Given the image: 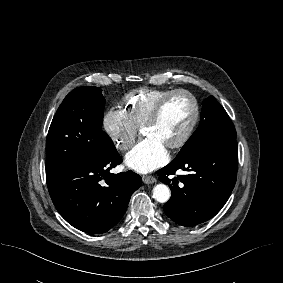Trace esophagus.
<instances>
[{"label": "esophagus", "mask_w": 283, "mask_h": 283, "mask_svg": "<svg viewBox=\"0 0 283 283\" xmlns=\"http://www.w3.org/2000/svg\"><path fill=\"white\" fill-rule=\"evenodd\" d=\"M142 180L145 184H153L156 182V178L153 176H143Z\"/></svg>", "instance_id": "esophagus-1"}]
</instances>
